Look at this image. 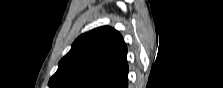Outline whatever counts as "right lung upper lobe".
<instances>
[{"label": "right lung upper lobe", "mask_w": 223, "mask_h": 88, "mask_svg": "<svg viewBox=\"0 0 223 88\" xmlns=\"http://www.w3.org/2000/svg\"><path fill=\"white\" fill-rule=\"evenodd\" d=\"M127 47L121 34L100 27L79 36L59 62L50 88H127Z\"/></svg>", "instance_id": "1"}]
</instances>
